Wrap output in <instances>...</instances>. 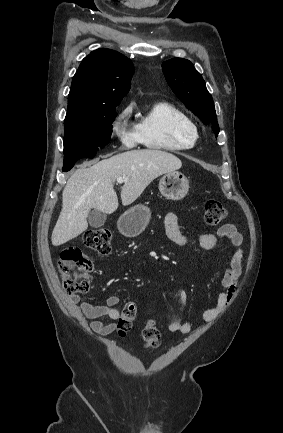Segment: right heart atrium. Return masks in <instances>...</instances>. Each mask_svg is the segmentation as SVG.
<instances>
[{"label": "right heart atrium", "mask_w": 283, "mask_h": 433, "mask_svg": "<svg viewBox=\"0 0 283 433\" xmlns=\"http://www.w3.org/2000/svg\"><path fill=\"white\" fill-rule=\"evenodd\" d=\"M132 110V105L128 104L112 118L111 132L118 151L130 150L142 141L137 127L129 122Z\"/></svg>", "instance_id": "d8ad5b80"}]
</instances>
